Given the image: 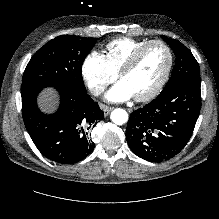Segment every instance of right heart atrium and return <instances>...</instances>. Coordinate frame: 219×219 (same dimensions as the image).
<instances>
[{
	"label": "right heart atrium",
	"instance_id": "right-heart-atrium-1",
	"mask_svg": "<svg viewBox=\"0 0 219 219\" xmlns=\"http://www.w3.org/2000/svg\"><path fill=\"white\" fill-rule=\"evenodd\" d=\"M82 76L90 91L99 95L115 80L117 74L110 67L105 55L93 50L83 61Z\"/></svg>",
	"mask_w": 219,
	"mask_h": 219
}]
</instances>
